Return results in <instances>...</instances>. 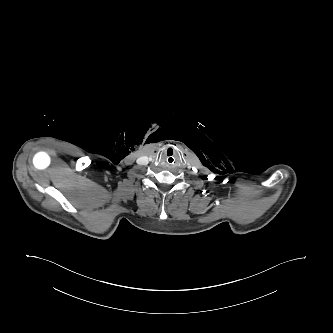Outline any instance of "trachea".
I'll return each instance as SVG.
<instances>
[{
    "instance_id": "trachea-1",
    "label": "trachea",
    "mask_w": 333,
    "mask_h": 333,
    "mask_svg": "<svg viewBox=\"0 0 333 333\" xmlns=\"http://www.w3.org/2000/svg\"><path fill=\"white\" fill-rule=\"evenodd\" d=\"M164 160L168 163V164H174L177 161V155L176 153H174L173 151H168L165 155H164Z\"/></svg>"
}]
</instances>
